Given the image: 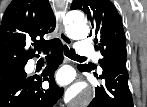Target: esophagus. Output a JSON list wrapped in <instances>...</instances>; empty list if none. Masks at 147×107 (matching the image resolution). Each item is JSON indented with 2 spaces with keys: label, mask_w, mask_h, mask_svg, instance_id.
I'll use <instances>...</instances> for the list:
<instances>
[{
  "label": "esophagus",
  "mask_w": 147,
  "mask_h": 107,
  "mask_svg": "<svg viewBox=\"0 0 147 107\" xmlns=\"http://www.w3.org/2000/svg\"><path fill=\"white\" fill-rule=\"evenodd\" d=\"M58 30H59V36H60V39L62 40V42L68 46L71 45L72 40L64 32V28L61 25V21H59V23H58Z\"/></svg>",
  "instance_id": "34e87169"
}]
</instances>
